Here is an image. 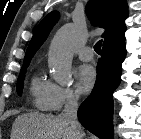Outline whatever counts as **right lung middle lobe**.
I'll use <instances>...</instances> for the list:
<instances>
[{"mask_svg":"<svg viewBox=\"0 0 141 139\" xmlns=\"http://www.w3.org/2000/svg\"><path fill=\"white\" fill-rule=\"evenodd\" d=\"M28 66H22L21 68V72L19 74V77H18V81H17V93L19 96H21L22 94V89H23V81H24V78H25V73H26V68Z\"/></svg>","mask_w":141,"mask_h":139,"instance_id":"obj_1","label":"right lung middle lobe"}]
</instances>
